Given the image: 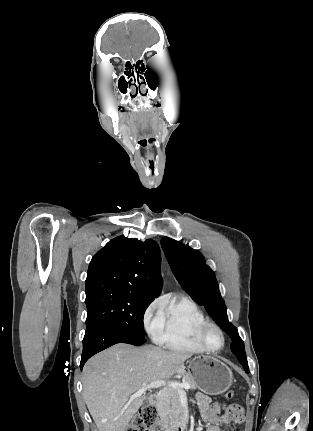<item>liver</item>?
<instances>
[{
	"label": "liver",
	"instance_id": "obj_1",
	"mask_svg": "<svg viewBox=\"0 0 313 431\" xmlns=\"http://www.w3.org/2000/svg\"><path fill=\"white\" fill-rule=\"evenodd\" d=\"M185 352L119 343L85 364L83 396L99 431H125L146 396L131 398L153 381L184 372Z\"/></svg>",
	"mask_w": 313,
	"mask_h": 431
}]
</instances>
